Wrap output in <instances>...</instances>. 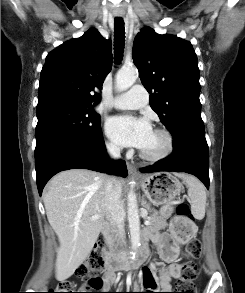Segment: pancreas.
Listing matches in <instances>:
<instances>
[{
	"label": "pancreas",
	"mask_w": 245,
	"mask_h": 293,
	"mask_svg": "<svg viewBox=\"0 0 245 293\" xmlns=\"http://www.w3.org/2000/svg\"><path fill=\"white\" fill-rule=\"evenodd\" d=\"M150 213L151 214L148 217V220L150 221V226L148 228L161 230L167 227L168 224H167L166 218L162 217L159 212L152 209L150 210ZM115 241H116L115 235L107 237V243L112 253L115 250L114 249V247L116 246Z\"/></svg>",
	"instance_id": "1"
}]
</instances>
